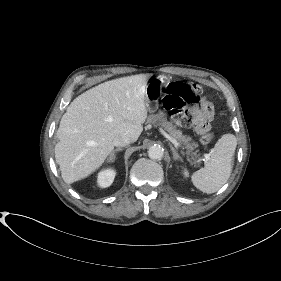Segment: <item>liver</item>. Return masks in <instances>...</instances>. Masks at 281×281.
<instances>
[{"instance_id": "6515ba94", "label": "liver", "mask_w": 281, "mask_h": 281, "mask_svg": "<svg viewBox=\"0 0 281 281\" xmlns=\"http://www.w3.org/2000/svg\"><path fill=\"white\" fill-rule=\"evenodd\" d=\"M147 75L110 80L75 98L57 130L55 159L63 180L71 184L98 169L125 135L137 141L147 118Z\"/></svg>"}]
</instances>
